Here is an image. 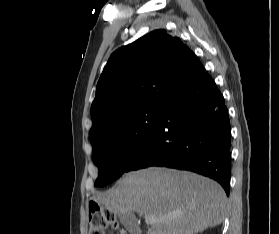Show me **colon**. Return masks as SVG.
<instances>
[{"instance_id": "obj_1", "label": "colon", "mask_w": 279, "mask_h": 234, "mask_svg": "<svg viewBox=\"0 0 279 234\" xmlns=\"http://www.w3.org/2000/svg\"><path fill=\"white\" fill-rule=\"evenodd\" d=\"M114 214L96 203L89 206L88 234H107L111 227H116Z\"/></svg>"}]
</instances>
